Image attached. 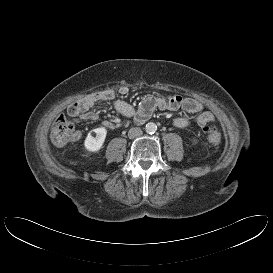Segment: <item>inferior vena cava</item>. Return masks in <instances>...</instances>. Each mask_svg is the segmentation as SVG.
Returning <instances> with one entry per match:
<instances>
[{
    "mask_svg": "<svg viewBox=\"0 0 273 273\" xmlns=\"http://www.w3.org/2000/svg\"><path fill=\"white\" fill-rule=\"evenodd\" d=\"M142 130L140 128H131L128 132V137L130 139H134V138H137V137H140L142 135Z\"/></svg>",
    "mask_w": 273,
    "mask_h": 273,
    "instance_id": "602c4592",
    "label": "inferior vena cava"
}]
</instances>
